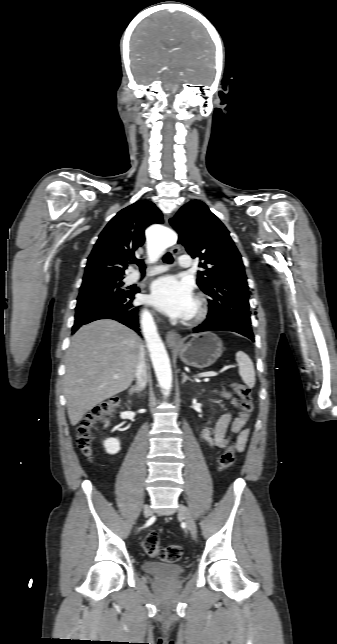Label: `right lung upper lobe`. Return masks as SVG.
Instances as JSON below:
<instances>
[{"label":"right lung upper lobe","mask_w":337,"mask_h":644,"mask_svg":"<svg viewBox=\"0 0 337 644\" xmlns=\"http://www.w3.org/2000/svg\"><path fill=\"white\" fill-rule=\"evenodd\" d=\"M163 223L161 211L150 201L139 200L114 216L99 235L83 281L95 278H123L124 270L144 244V230Z\"/></svg>","instance_id":"cb5924a9"}]
</instances>
